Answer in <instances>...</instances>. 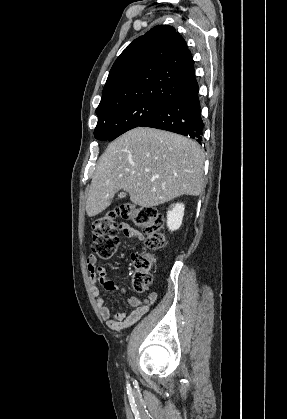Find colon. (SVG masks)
<instances>
[{"mask_svg":"<svg viewBox=\"0 0 287 419\" xmlns=\"http://www.w3.org/2000/svg\"><path fill=\"white\" fill-rule=\"evenodd\" d=\"M117 217L131 221L146 235L147 250L164 247L165 237L161 229L164 218L153 207L123 203L117 208L100 215L92 225V252L101 259H110L116 252L118 239ZM132 261L136 269L133 287L137 292H144L152 281L153 258L148 253H133Z\"/></svg>","mask_w":287,"mask_h":419,"instance_id":"obj_1","label":"colon"}]
</instances>
